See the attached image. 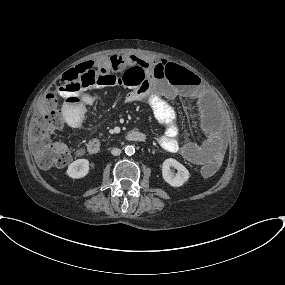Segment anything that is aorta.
<instances>
[{"instance_id": "1", "label": "aorta", "mask_w": 285, "mask_h": 285, "mask_svg": "<svg viewBox=\"0 0 285 285\" xmlns=\"http://www.w3.org/2000/svg\"><path fill=\"white\" fill-rule=\"evenodd\" d=\"M125 153H126V155H128V156L133 155V154L135 153V148H134V146H132V145L126 146V147H125Z\"/></svg>"}]
</instances>
